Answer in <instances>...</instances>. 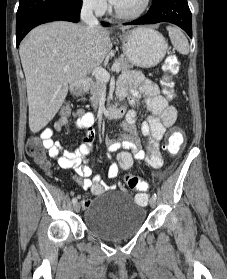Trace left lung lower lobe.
Masks as SVG:
<instances>
[{
	"instance_id": "0a47b994",
	"label": "left lung lower lobe",
	"mask_w": 227,
	"mask_h": 279,
	"mask_svg": "<svg viewBox=\"0 0 227 279\" xmlns=\"http://www.w3.org/2000/svg\"><path fill=\"white\" fill-rule=\"evenodd\" d=\"M159 22L176 24L192 37V16L187 0H153L146 15L124 25Z\"/></svg>"
}]
</instances>
